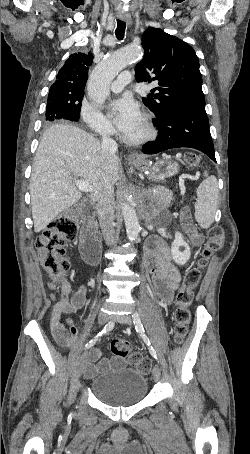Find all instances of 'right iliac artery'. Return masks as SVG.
Listing matches in <instances>:
<instances>
[{"instance_id": "82829eb1", "label": "right iliac artery", "mask_w": 250, "mask_h": 454, "mask_svg": "<svg viewBox=\"0 0 250 454\" xmlns=\"http://www.w3.org/2000/svg\"><path fill=\"white\" fill-rule=\"evenodd\" d=\"M114 327V321L111 320L108 324L105 325V327L103 328V330L101 332H99L92 340H90L86 345H85V349H89L90 347H92L98 340V338L100 336H102L103 334H106L107 332L111 331Z\"/></svg>"}]
</instances>
